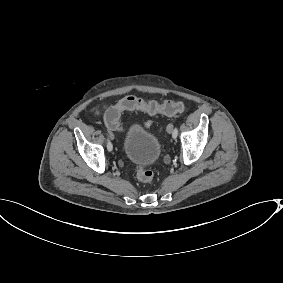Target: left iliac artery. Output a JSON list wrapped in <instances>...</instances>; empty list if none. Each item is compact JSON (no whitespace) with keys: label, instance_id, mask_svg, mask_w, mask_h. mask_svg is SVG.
<instances>
[{"label":"left iliac artery","instance_id":"44dca946","mask_svg":"<svg viewBox=\"0 0 283 283\" xmlns=\"http://www.w3.org/2000/svg\"><path fill=\"white\" fill-rule=\"evenodd\" d=\"M173 138H177L178 136V129L175 127L172 133Z\"/></svg>","mask_w":283,"mask_h":283}]
</instances>
